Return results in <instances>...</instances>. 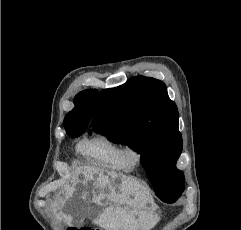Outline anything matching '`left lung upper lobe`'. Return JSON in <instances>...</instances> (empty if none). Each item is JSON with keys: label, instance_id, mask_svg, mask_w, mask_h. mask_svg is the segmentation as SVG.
<instances>
[{"label": "left lung upper lobe", "instance_id": "1", "mask_svg": "<svg viewBox=\"0 0 241 230\" xmlns=\"http://www.w3.org/2000/svg\"><path fill=\"white\" fill-rule=\"evenodd\" d=\"M93 131L114 143L129 145L141 163L156 195L172 203L184 189V174L176 169L182 152L178 110L157 79L138 76L98 95Z\"/></svg>", "mask_w": 241, "mask_h": 230}]
</instances>
